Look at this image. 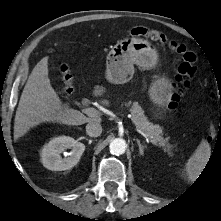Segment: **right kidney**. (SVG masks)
<instances>
[{"mask_svg": "<svg viewBox=\"0 0 221 221\" xmlns=\"http://www.w3.org/2000/svg\"><path fill=\"white\" fill-rule=\"evenodd\" d=\"M66 149H72L65 158L61 153ZM85 145L67 136L53 138L44 146L41 153V161L44 167L49 170L63 171L74 167L80 160Z\"/></svg>", "mask_w": 221, "mask_h": 221, "instance_id": "right-kidney-1", "label": "right kidney"}]
</instances>
